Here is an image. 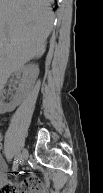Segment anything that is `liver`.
Segmentation results:
<instances>
[{
	"instance_id": "1",
	"label": "liver",
	"mask_w": 103,
	"mask_h": 193,
	"mask_svg": "<svg viewBox=\"0 0 103 193\" xmlns=\"http://www.w3.org/2000/svg\"><path fill=\"white\" fill-rule=\"evenodd\" d=\"M51 0H0V78L5 83L46 50L54 14Z\"/></svg>"
}]
</instances>
